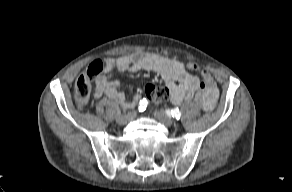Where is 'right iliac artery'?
<instances>
[{
    "instance_id": "82829eb1",
    "label": "right iliac artery",
    "mask_w": 292,
    "mask_h": 192,
    "mask_svg": "<svg viewBox=\"0 0 292 192\" xmlns=\"http://www.w3.org/2000/svg\"><path fill=\"white\" fill-rule=\"evenodd\" d=\"M147 104H148V102H147L146 99L140 100V102H139V110L140 111L145 110L146 107H147Z\"/></svg>"
}]
</instances>
